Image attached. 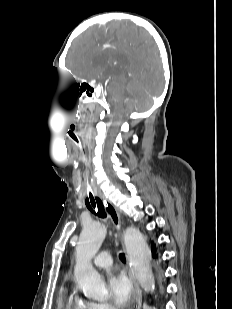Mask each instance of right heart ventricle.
Returning <instances> with one entry per match:
<instances>
[{"label":"right heart ventricle","mask_w":232,"mask_h":309,"mask_svg":"<svg viewBox=\"0 0 232 309\" xmlns=\"http://www.w3.org/2000/svg\"><path fill=\"white\" fill-rule=\"evenodd\" d=\"M90 302H86L78 297L69 298L67 304L65 305L66 309H91Z\"/></svg>","instance_id":"e07e8e85"}]
</instances>
